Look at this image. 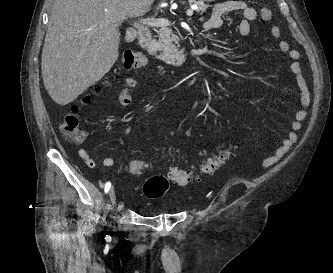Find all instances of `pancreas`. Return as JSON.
Segmentation results:
<instances>
[{
	"label": "pancreas",
	"mask_w": 333,
	"mask_h": 273,
	"mask_svg": "<svg viewBox=\"0 0 333 273\" xmlns=\"http://www.w3.org/2000/svg\"><path fill=\"white\" fill-rule=\"evenodd\" d=\"M198 6L196 10L198 13H203L209 7L203 0H189ZM156 50L159 51L158 59L174 65L180 66L185 61L183 51H179V38L169 28L161 29L159 33V40L156 44Z\"/></svg>",
	"instance_id": "obj_1"
}]
</instances>
